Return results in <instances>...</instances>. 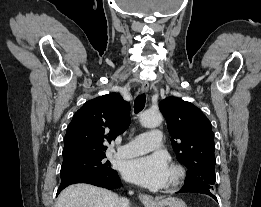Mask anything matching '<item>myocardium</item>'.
<instances>
[{"label": "myocardium", "instance_id": "obj_1", "mask_svg": "<svg viewBox=\"0 0 261 207\" xmlns=\"http://www.w3.org/2000/svg\"><path fill=\"white\" fill-rule=\"evenodd\" d=\"M169 170L172 174V177L171 180L165 184L164 190L173 191L178 189L183 184L186 174L183 167L178 164H172Z\"/></svg>", "mask_w": 261, "mask_h": 207}]
</instances>
